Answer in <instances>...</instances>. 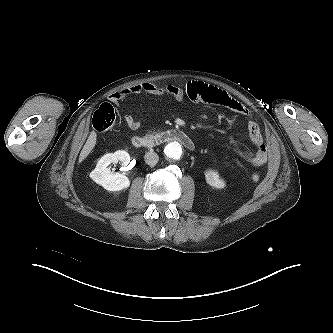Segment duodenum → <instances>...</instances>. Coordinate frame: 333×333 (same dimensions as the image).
Returning a JSON list of instances; mask_svg holds the SVG:
<instances>
[{"mask_svg":"<svg viewBox=\"0 0 333 333\" xmlns=\"http://www.w3.org/2000/svg\"><path fill=\"white\" fill-rule=\"evenodd\" d=\"M178 142L188 150H194L193 140L181 129L171 128L144 136H134L132 144L137 148L152 149L165 142Z\"/></svg>","mask_w":333,"mask_h":333,"instance_id":"duodenum-1","label":"duodenum"}]
</instances>
